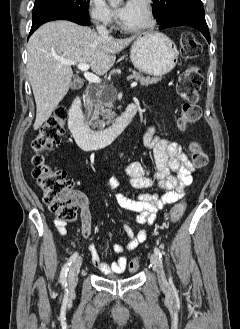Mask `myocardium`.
<instances>
[{"label": "myocardium", "mask_w": 240, "mask_h": 329, "mask_svg": "<svg viewBox=\"0 0 240 329\" xmlns=\"http://www.w3.org/2000/svg\"><path fill=\"white\" fill-rule=\"evenodd\" d=\"M139 2L144 6L146 11V22L138 25V26H128L123 23V21L120 22V28L129 33H140L147 30H150L154 27L156 23V16L154 7L151 0H139Z\"/></svg>", "instance_id": "1"}]
</instances>
